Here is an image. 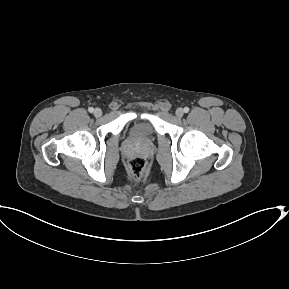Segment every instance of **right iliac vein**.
<instances>
[{
	"mask_svg": "<svg viewBox=\"0 0 289 289\" xmlns=\"http://www.w3.org/2000/svg\"><path fill=\"white\" fill-rule=\"evenodd\" d=\"M101 115H102V110L99 109V108H96V109L94 110V116H95V117H100Z\"/></svg>",
	"mask_w": 289,
	"mask_h": 289,
	"instance_id": "obj_1",
	"label": "right iliac vein"
}]
</instances>
